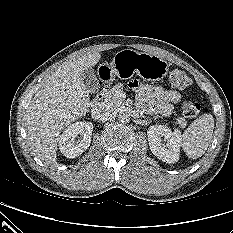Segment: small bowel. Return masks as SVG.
Listing matches in <instances>:
<instances>
[{"label":"small bowel","mask_w":233,"mask_h":233,"mask_svg":"<svg viewBox=\"0 0 233 233\" xmlns=\"http://www.w3.org/2000/svg\"><path fill=\"white\" fill-rule=\"evenodd\" d=\"M137 96V106L147 112H158L165 116L173 112V105L180 102L182 95L175 90H166L161 86L130 83Z\"/></svg>","instance_id":"1"}]
</instances>
